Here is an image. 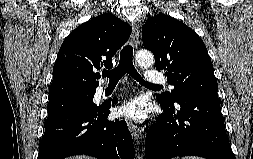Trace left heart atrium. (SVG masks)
I'll list each match as a JSON object with an SVG mask.
<instances>
[{
	"instance_id": "left-heart-atrium-1",
	"label": "left heart atrium",
	"mask_w": 253,
	"mask_h": 159,
	"mask_svg": "<svg viewBox=\"0 0 253 159\" xmlns=\"http://www.w3.org/2000/svg\"><path fill=\"white\" fill-rule=\"evenodd\" d=\"M118 113L121 117L141 122L148 114V106L143 98L131 99L120 106Z\"/></svg>"
}]
</instances>
